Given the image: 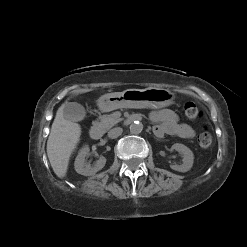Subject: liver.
Returning <instances> with one entry per match:
<instances>
[{"label": "liver", "instance_id": "1", "mask_svg": "<svg viewBox=\"0 0 247 247\" xmlns=\"http://www.w3.org/2000/svg\"><path fill=\"white\" fill-rule=\"evenodd\" d=\"M64 106L65 104H62L57 110L47 140V155L54 173L59 178L66 176L69 159L81 136L80 125L64 118Z\"/></svg>", "mask_w": 247, "mask_h": 247}]
</instances>
